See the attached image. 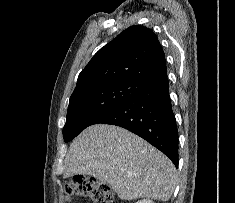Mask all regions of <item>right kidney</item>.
Here are the masks:
<instances>
[{
	"label": "right kidney",
	"instance_id": "obj_1",
	"mask_svg": "<svg viewBox=\"0 0 235 203\" xmlns=\"http://www.w3.org/2000/svg\"><path fill=\"white\" fill-rule=\"evenodd\" d=\"M136 203H154V202L149 199H143V200L137 201Z\"/></svg>",
	"mask_w": 235,
	"mask_h": 203
}]
</instances>
